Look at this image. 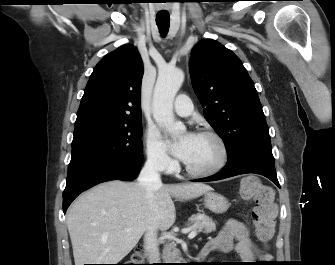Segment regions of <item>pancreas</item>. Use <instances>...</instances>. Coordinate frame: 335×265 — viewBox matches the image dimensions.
<instances>
[{
	"label": "pancreas",
	"instance_id": "cf45deb5",
	"mask_svg": "<svg viewBox=\"0 0 335 265\" xmlns=\"http://www.w3.org/2000/svg\"><path fill=\"white\" fill-rule=\"evenodd\" d=\"M188 228L192 230L204 231L205 233H211L216 230V224L204 213L194 214L189 218ZM163 259L166 262L177 263L183 258L180 256V251L176 248L174 244H168L163 250Z\"/></svg>",
	"mask_w": 335,
	"mask_h": 265
}]
</instances>
